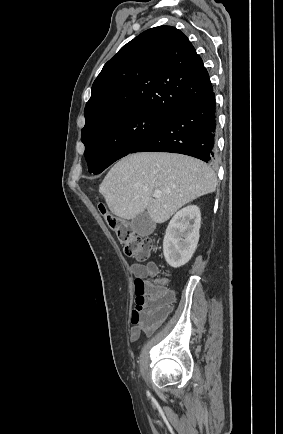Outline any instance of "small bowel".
<instances>
[{"mask_svg":"<svg viewBox=\"0 0 283 434\" xmlns=\"http://www.w3.org/2000/svg\"><path fill=\"white\" fill-rule=\"evenodd\" d=\"M131 271L133 273V275L137 278H146L149 276H155L158 273V266L156 265L155 262H148L146 264L144 263H140V262H135L132 264L131 266ZM171 294L173 295V293L171 292ZM174 297V296H173ZM171 310V308H170ZM142 333V330L140 327L138 326H133L130 330V339L132 341H136L138 340V338L140 337Z\"/></svg>","mask_w":283,"mask_h":434,"instance_id":"1","label":"small bowel"}]
</instances>
